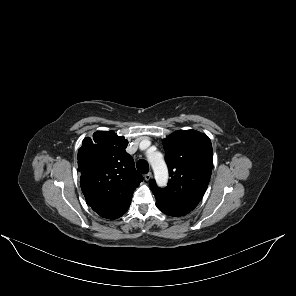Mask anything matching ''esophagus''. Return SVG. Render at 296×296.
I'll list each match as a JSON object with an SVG mask.
<instances>
[{
    "label": "esophagus",
    "instance_id": "obj_1",
    "mask_svg": "<svg viewBox=\"0 0 296 296\" xmlns=\"http://www.w3.org/2000/svg\"><path fill=\"white\" fill-rule=\"evenodd\" d=\"M151 177H152V173L151 172L145 174V176H144V178H145L146 181H149L151 179Z\"/></svg>",
    "mask_w": 296,
    "mask_h": 296
}]
</instances>
